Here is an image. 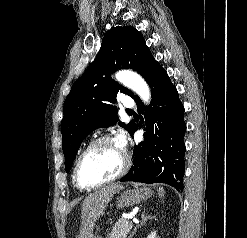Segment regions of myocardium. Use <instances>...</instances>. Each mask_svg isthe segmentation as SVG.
I'll list each match as a JSON object with an SVG mask.
<instances>
[{
    "label": "myocardium",
    "mask_w": 247,
    "mask_h": 238,
    "mask_svg": "<svg viewBox=\"0 0 247 238\" xmlns=\"http://www.w3.org/2000/svg\"><path fill=\"white\" fill-rule=\"evenodd\" d=\"M106 142H115V139L110 135H103L101 137H98L79 155V157L75 163L74 170H73V179H74V182L78 188H80L82 190H91V189L99 188L103 185H106L110 182H113V181L121 178L129 170L130 165H131V158H130L129 154L125 150H123L124 161H123L122 168L120 169V171L118 173H116L114 176H112L106 180H103V181L96 183V184H93V185H85L82 183L80 176H79V169H80V165H81L83 159L88 154H90L93 150H95L98 146H100L101 144L106 143Z\"/></svg>",
    "instance_id": "obj_1"
}]
</instances>
